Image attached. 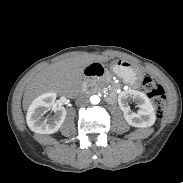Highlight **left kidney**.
I'll list each match as a JSON object with an SVG mask.
<instances>
[{"instance_id":"1","label":"left kidney","mask_w":183,"mask_h":183,"mask_svg":"<svg viewBox=\"0 0 183 183\" xmlns=\"http://www.w3.org/2000/svg\"><path fill=\"white\" fill-rule=\"evenodd\" d=\"M132 99L138 106V111L133 112L130 109L128 100ZM118 104L123 111L126 122L138 128L150 127L155 123L156 115L149 98L137 90H125L118 96Z\"/></svg>"}]
</instances>
